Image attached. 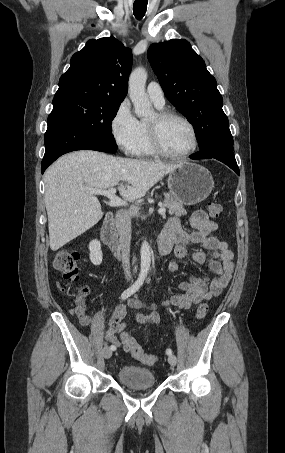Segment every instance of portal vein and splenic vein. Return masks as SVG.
Masks as SVG:
<instances>
[{
	"instance_id": "18ae733b",
	"label": "portal vein and splenic vein",
	"mask_w": 285,
	"mask_h": 453,
	"mask_svg": "<svg viewBox=\"0 0 285 453\" xmlns=\"http://www.w3.org/2000/svg\"><path fill=\"white\" fill-rule=\"evenodd\" d=\"M84 191L90 193V194H96V195H104L107 198H109L110 202L109 204L112 206H124L127 205V203L116 196V189L115 188H109L108 190L106 189H95V188H83ZM166 209L164 206L160 205V208L158 210L159 214H165Z\"/></svg>"
}]
</instances>
